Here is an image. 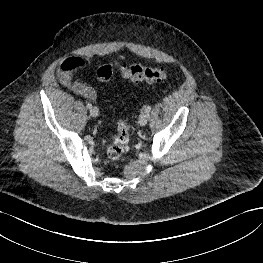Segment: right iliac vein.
Returning a JSON list of instances; mask_svg holds the SVG:
<instances>
[{
  "label": "right iliac vein",
  "mask_w": 263,
  "mask_h": 263,
  "mask_svg": "<svg viewBox=\"0 0 263 263\" xmlns=\"http://www.w3.org/2000/svg\"><path fill=\"white\" fill-rule=\"evenodd\" d=\"M90 115L92 117H97L99 115V109L97 107H93L90 109Z\"/></svg>",
  "instance_id": "right-iliac-vein-1"
}]
</instances>
